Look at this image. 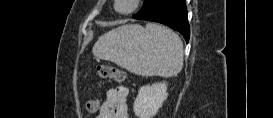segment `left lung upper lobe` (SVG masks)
Wrapping results in <instances>:
<instances>
[{
	"label": "left lung upper lobe",
	"instance_id": "1",
	"mask_svg": "<svg viewBox=\"0 0 273 118\" xmlns=\"http://www.w3.org/2000/svg\"><path fill=\"white\" fill-rule=\"evenodd\" d=\"M164 0H144L142 9L133 16L135 19H142L144 16L155 11Z\"/></svg>",
	"mask_w": 273,
	"mask_h": 118
}]
</instances>
